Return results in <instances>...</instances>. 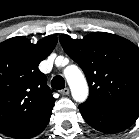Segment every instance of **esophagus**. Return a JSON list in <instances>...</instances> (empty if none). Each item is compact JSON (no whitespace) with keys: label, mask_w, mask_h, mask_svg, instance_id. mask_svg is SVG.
I'll list each match as a JSON object with an SVG mask.
<instances>
[{"label":"esophagus","mask_w":139,"mask_h":139,"mask_svg":"<svg viewBox=\"0 0 139 139\" xmlns=\"http://www.w3.org/2000/svg\"><path fill=\"white\" fill-rule=\"evenodd\" d=\"M60 93H61L62 95H68V94L70 93V90H69V88H64V89H62V90L60 91Z\"/></svg>","instance_id":"1"}]
</instances>
